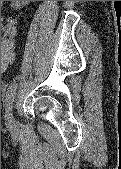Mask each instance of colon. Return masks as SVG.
Listing matches in <instances>:
<instances>
[{
	"label": "colon",
	"instance_id": "5ec220e1",
	"mask_svg": "<svg viewBox=\"0 0 121 169\" xmlns=\"http://www.w3.org/2000/svg\"><path fill=\"white\" fill-rule=\"evenodd\" d=\"M15 33L16 19L15 17L11 16L6 19L3 26V39L1 41V69H7L14 59Z\"/></svg>",
	"mask_w": 121,
	"mask_h": 169
}]
</instances>
